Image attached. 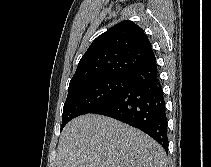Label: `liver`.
<instances>
[{
	"label": "liver",
	"mask_w": 211,
	"mask_h": 167,
	"mask_svg": "<svg viewBox=\"0 0 211 167\" xmlns=\"http://www.w3.org/2000/svg\"><path fill=\"white\" fill-rule=\"evenodd\" d=\"M58 167H166L162 146L110 117L87 114L70 121L58 144Z\"/></svg>",
	"instance_id": "liver-1"
}]
</instances>
